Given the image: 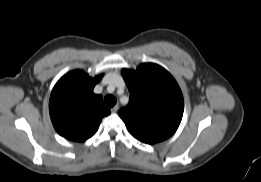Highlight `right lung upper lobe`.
Returning <instances> with one entry per match:
<instances>
[{
  "instance_id": "1",
  "label": "right lung upper lobe",
  "mask_w": 261,
  "mask_h": 182,
  "mask_svg": "<svg viewBox=\"0 0 261 182\" xmlns=\"http://www.w3.org/2000/svg\"><path fill=\"white\" fill-rule=\"evenodd\" d=\"M103 75L95 78L81 70L65 74L54 86L49 112L55 130L66 139L83 142L97 131L110 110L101 95L93 93Z\"/></svg>"
}]
</instances>
